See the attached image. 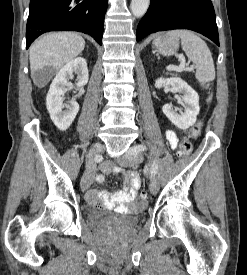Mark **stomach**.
Returning <instances> with one entry per match:
<instances>
[{"instance_id": "1", "label": "stomach", "mask_w": 247, "mask_h": 275, "mask_svg": "<svg viewBox=\"0 0 247 275\" xmlns=\"http://www.w3.org/2000/svg\"><path fill=\"white\" fill-rule=\"evenodd\" d=\"M153 47L162 55H171L177 51L179 40L172 36L157 38L153 41Z\"/></svg>"}]
</instances>
